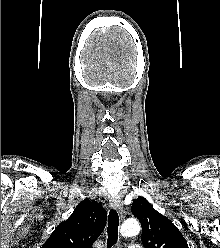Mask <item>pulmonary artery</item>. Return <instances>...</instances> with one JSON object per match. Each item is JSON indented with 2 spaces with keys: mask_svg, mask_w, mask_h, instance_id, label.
Wrapping results in <instances>:
<instances>
[{
  "mask_svg": "<svg viewBox=\"0 0 220 248\" xmlns=\"http://www.w3.org/2000/svg\"><path fill=\"white\" fill-rule=\"evenodd\" d=\"M128 248H142L139 244H131Z\"/></svg>",
  "mask_w": 220,
  "mask_h": 248,
  "instance_id": "obj_1",
  "label": "pulmonary artery"
}]
</instances>
